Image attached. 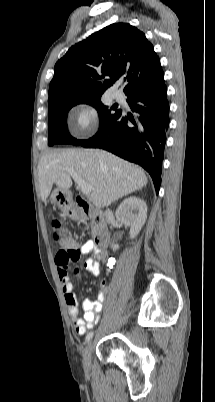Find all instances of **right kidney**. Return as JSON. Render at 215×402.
I'll return each mask as SVG.
<instances>
[{
    "label": "right kidney",
    "instance_id": "right-kidney-1",
    "mask_svg": "<svg viewBox=\"0 0 215 402\" xmlns=\"http://www.w3.org/2000/svg\"><path fill=\"white\" fill-rule=\"evenodd\" d=\"M116 218L126 226H130V239H134L140 232L147 219V205L137 197L126 198L116 210ZM119 249L113 245V251Z\"/></svg>",
    "mask_w": 215,
    "mask_h": 402
}]
</instances>
